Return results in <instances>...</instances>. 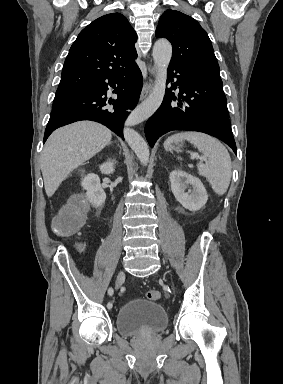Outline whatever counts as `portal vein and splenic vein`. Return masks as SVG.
I'll return each instance as SVG.
<instances>
[{
  "mask_svg": "<svg viewBox=\"0 0 283 384\" xmlns=\"http://www.w3.org/2000/svg\"><path fill=\"white\" fill-rule=\"evenodd\" d=\"M191 158H197V160H206L204 156H199V154H193V152H190Z\"/></svg>",
  "mask_w": 283,
  "mask_h": 384,
  "instance_id": "obj_1",
  "label": "portal vein and splenic vein"
}]
</instances>
